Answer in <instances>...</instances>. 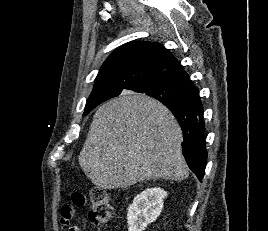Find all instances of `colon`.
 Listing matches in <instances>:
<instances>
[{
    "label": "colon",
    "instance_id": "colon-1",
    "mask_svg": "<svg viewBox=\"0 0 268 231\" xmlns=\"http://www.w3.org/2000/svg\"><path fill=\"white\" fill-rule=\"evenodd\" d=\"M89 196L92 203L89 211L90 220L95 225H106L113 214L109 194L102 188L92 187Z\"/></svg>",
    "mask_w": 268,
    "mask_h": 231
}]
</instances>
